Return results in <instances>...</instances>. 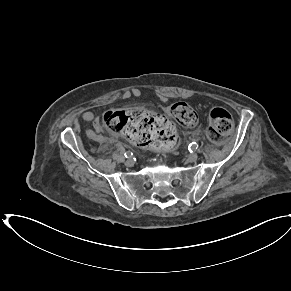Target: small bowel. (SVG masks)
Returning a JSON list of instances; mask_svg holds the SVG:
<instances>
[{
  "mask_svg": "<svg viewBox=\"0 0 291 291\" xmlns=\"http://www.w3.org/2000/svg\"><path fill=\"white\" fill-rule=\"evenodd\" d=\"M130 93L131 95L135 96L137 95V92L135 90H131ZM82 119L84 121L91 122L94 126V130H87L86 134L88 138L99 144H107L112 141L110 138L100 133L101 130L100 124L92 112L90 111L83 112Z\"/></svg>",
  "mask_w": 291,
  "mask_h": 291,
  "instance_id": "1",
  "label": "small bowel"
}]
</instances>
